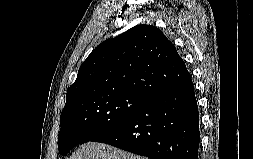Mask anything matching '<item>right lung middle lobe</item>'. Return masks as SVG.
<instances>
[{
    "instance_id": "right-lung-middle-lobe-1",
    "label": "right lung middle lobe",
    "mask_w": 253,
    "mask_h": 159,
    "mask_svg": "<svg viewBox=\"0 0 253 159\" xmlns=\"http://www.w3.org/2000/svg\"><path fill=\"white\" fill-rule=\"evenodd\" d=\"M146 99L136 93H96L65 104L60 116L59 153L66 155L75 145L92 141L121 124Z\"/></svg>"
}]
</instances>
